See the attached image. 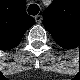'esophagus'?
Here are the masks:
<instances>
[{"mask_svg":"<svg viewBox=\"0 0 80 80\" xmlns=\"http://www.w3.org/2000/svg\"><path fill=\"white\" fill-rule=\"evenodd\" d=\"M35 21H36V23H41L42 22V16L41 15H36L35 16Z\"/></svg>","mask_w":80,"mask_h":80,"instance_id":"1","label":"esophagus"}]
</instances>
